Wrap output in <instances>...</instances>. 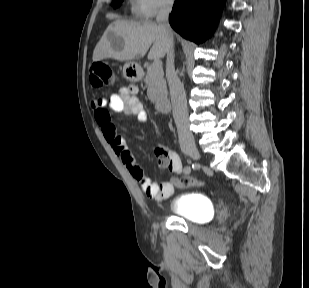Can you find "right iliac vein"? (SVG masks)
<instances>
[{
    "label": "right iliac vein",
    "instance_id": "63e3f726",
    "mask_svg": "<svg viewBox=\"0 0 309 288\" xmlns=\"http://www.w3.org/2000/svg\"><path fill=\"white\" fill-rule=\"evenodd\" d=\"M183 152L186 155L191 156L192 158H194L195 160L200 159L201 155L198 151V149L195 146H186L183 148Z\"/></svg>",
    "mask_w": 309,
    "mask_h": 288
}]
</instances>
